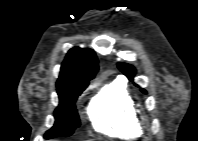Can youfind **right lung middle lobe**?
<instances>
[{"instance_id":"dd1d6c3e","label":"right lung middle lobe","mask_w":198,"mask_h":141,"mask_svg":"<svg viewBox=\"0 0 198 141\" xmlns=\"http://www.w3.org/2000/svg\"><path fill=\"white\" fill-rule=\"evenodd\" d=\"M88 84H70L57 86L59 105L55 109V124L45 134L46 139L57 136H70L79 127L80 120L75 108V102Z\"/></svg>"}]
</instances>
